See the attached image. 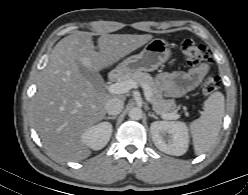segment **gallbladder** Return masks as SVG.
<instances>
[{"instance_id":"gallbladder-1","label":"gallbladder","mask_w":248,"mask_h":195,"mask_svg":"<svg viewBox=\"0 0 248 195\" xmlns=\"http://www.w3.org/2000/svg\"><path fill=\"white\" fill-rule=\"evenodd\" d=\"M78 66H79V70L81 74L88 81H90L97 90H101L103 83H104L102 76L98 72H93V71L88 70L80 62H78Z\"/></svg>"}]
</instances>
